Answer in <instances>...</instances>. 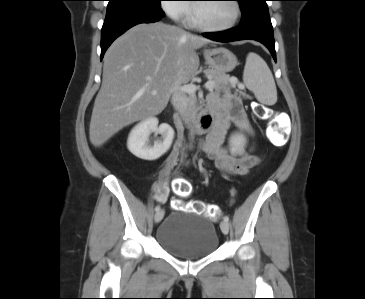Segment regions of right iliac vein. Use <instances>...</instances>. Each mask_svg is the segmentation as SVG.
Masks as SVG:
<instances>
[{"mask_svg": "<svg viewBox=\"0 0 365 299\" xmlns=\"http://www.w3.org/2000/svg\"><path fill=\"white\" fill-rule=\"evenodd\" d=\"M164 217V210H159L156 212L154 220L155 223H159Z\"/></svg>", "mask_w": 365, "mask_h": 299, "instance_id": "1", "label": "right iliac vein"}]
</instances>
